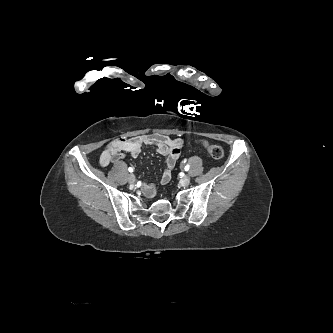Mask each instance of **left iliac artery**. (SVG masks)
I'll return each instance as SVG.
<instances>
[{"mask_svg": "<svg viewBox=\"0 0 333 333\" xmlns=\"http://www.w3.org/2000/svg\"><path fill=\"white\" fill-rule=\"evenodd\" d=\"M189 168H190V166H189V165H186L184 169H185V171H188Z\"/></svg>", "mask_w": 333, "mask_h": 333, "instance_id": "left-iliac-artery-1", "label": "left iliac artery"}]
</instances>
